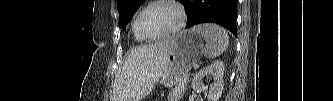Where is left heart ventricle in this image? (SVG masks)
Segmentation results:
<instances>
[{
	"instance_id": "1",
	"label": "left heart ventricle",
	"mask_w": 333,
	"mask_h": 101,
	"mask_svg": "<svg viewBox=\"0 0 333 101\" xmlns=\"http://www.w3.org/2000/svg\"><path fill=\"white\" fill-rule=\"evenodd\" d=\"M179 22L176 9L170 5L158 4L144 12L140 25L148 36H159L173 30Z\"/></svg>"
}]
</instances>
